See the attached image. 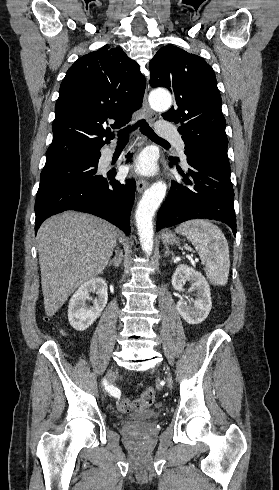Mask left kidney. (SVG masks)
I'll return each instance as SVG.
<instances>
[{
	"label": "left kidney",
	"instance_id": "5707ae66",
	"mask_svg": "<svg viewBox=\"0 0 279 490\" xmlns=\"http://www.w3.org/2000/svg\"><path fill=\"white\" fill-rule=\"evenodd\" d=\"M185 282H191L189 290L196 292L197 298L186 302L182 300L186 296H181L176 304V310L187 324H201L209 316L212 308L210 286L200 272H196L186 264H180L172 276V286L177 292H183Z\"/></svg>",
	"mask_w": 279,
	"mask_h": 490
}]
</instances>
